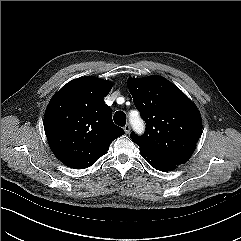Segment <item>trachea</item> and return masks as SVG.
Here are the masks:
<instances>
[{"label": "trachea", "instance_id": "obj_1", "mask_svg": "<svg viewBox=\"0 0 241 241\" xmlns=\"http://www.w3.org/2000/svg\"><path fill=\"white\" fill-rule=\"evenodd\" d=\"M114 122L119 125V126H125L126 124V116H125V113L123 111H117L115 114H114Z\"/></svg>", "mask_w": 241, "mask_h": 241}]
</instances>
